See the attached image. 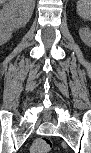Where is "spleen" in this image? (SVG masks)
Instances as JSON below:
<instances>
[{"label": "spleen", "instance_id": "obj_1", "mask_svg": "<svg viewBox=\"0 0 91 153\" xmlns=\"http://www.w3.org/2000/svg\"><path fill=\"white\" fill-rule=\"evenodd\" d=\"M77 13L83 19L89 20L91 17V1L79 0L77 3Z\"/></svg>", "mask_w": 91, "mask_h": 153}]
</instances>
